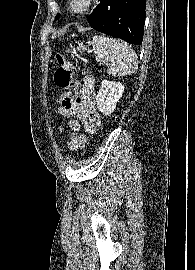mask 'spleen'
<instances>
[{"instance_id":"obj_1","label":"spleen","mask_w":195,"mask_h":270,"mask_svg":"<svg viewBox=\"0 0 195 270\" xmlns=\"http://www.w3.org/2000/svg\"><path fill=\"white\" fill-rule=\"evenodd\" d=\"M92 46L96 60L108 66L107 73L114 77L133 74L138 67V57L135 51L120 40L106 36L95 35Z\"/></svg>"}]
</instances>
